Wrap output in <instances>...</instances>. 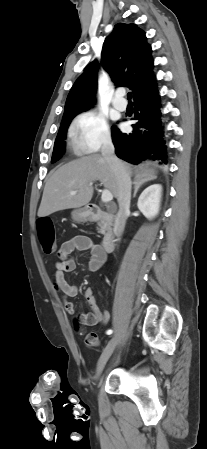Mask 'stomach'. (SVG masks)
Listing matches in <instances>:
<instances>
[{"label": "stomach", "mask_w": 207, "mask_h": 449, "mask_svg": "<svg viewBox=\"0 0 207 449\" xmlns=\"http://www.w3.org/2000/svg\"><path fill=\"white\" fill-rule=\"evenodd\" d=\"M71 216L75 222H85L90 219L91 214L89 210L86 207H84L74 209L71 213Z\"/></svg>", "instance_id": "0dacf381"}]
</instances>
